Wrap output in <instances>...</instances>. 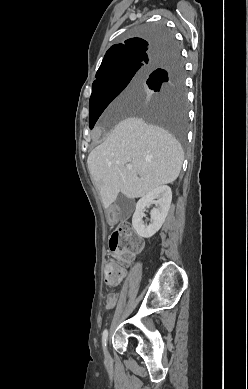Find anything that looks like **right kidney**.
Listing matches in <instances>:
<instances>
[{"mask_svg":"<svg viewBox=\"0 0 248 389\" xmlns=\"http://www.w3.org/2000/svg\"><path fill=\"white\" fill-rule=\"evenodd\" d=\"M172 200L171 188L167 185L159 186L141 198L132 217V225L137 234L143 238L152 237L163 225ZM155 204L150 212L152 223L145 225L142 217L143 211L151 204Z\"/></svg>","mask_w":248,"mask_h":389,"instance_id":"1","label":"right kidney"}]
</instances>
